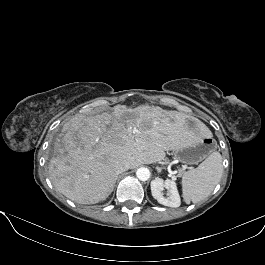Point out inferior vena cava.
Wrapping results in <instances>:
<instances>
[{
  "instance_id": "602c4592",
  "label": "inferior vena cava",
  "mask_w": 265,
  "mask_h": 265,
  "mask_svg": "<svg viewBox=\"0 0 265 265\" xmlns=\"http://www.w3.org/2000/svg\"><path fill=\"white\" fill-rule=\"evenodd\" d=\"M130 163L129 162H125V163H122L120 164L118 167H117V173H122L128 169H130Z\"/></svg>"
}]
</instances>
